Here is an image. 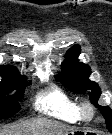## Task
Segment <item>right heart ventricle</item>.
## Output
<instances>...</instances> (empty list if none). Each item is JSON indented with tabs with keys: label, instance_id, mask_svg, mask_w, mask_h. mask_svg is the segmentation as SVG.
Returning <instances> with one entry per match:
<instances>
[{
	"label": "right heart ventricle",
	"instance_id": "1",
	"mask_svg": "<svg viewBox=\"0 0 112 135\" xmlns=\"http://www.w3.org/2000/svg\"><path fill=\"white\" fill-rule=\"evenodd\" d=\"M34 105L39 112L60 121L69 124L82 121L79 102L57 86H51L38 93Z\"/></svg>",
	"mask_w": 112,
	"mask_h": 135
}]
</instances>
